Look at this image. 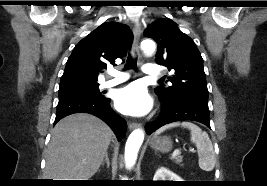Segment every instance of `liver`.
Here are the masks:
<instances>
[{"label": "liver", "instance_id": "6515ba94", "mask_svg": "<svg viewBox=\"0 0 267 186\" xmlns=\"http://www.w3.org/2000/svg\"><path fill=\"white\" fill-rule=\"evenodd\" d=\"M113 132L95 116L78 113L60 120L51 133L44 177L88 180L100 167Z\"/></svg>", "mask_w": 267, "mask_h": 186}]
</instances>
